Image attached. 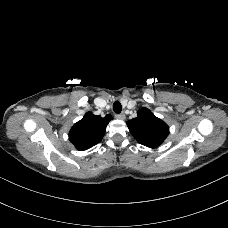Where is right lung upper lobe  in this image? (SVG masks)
Here are the masks:
<instances>
[{"instance_id":"cb5924a9","label":"right lung upper lobe","mask_w":228,"mask_h":228,"mask_svg":"<svg viewBox=\"0 0 228 228\" xmlns=\"http://www.w3.org/2000/svg\"><path fill=\"white\" fill-rule=\"evenodd\" d=\"M110 120L112 116L109 114L101 117L86 113L69 131L70 142L80 151L89 149L102 140Z\"/></svg>"}]
</instances>
